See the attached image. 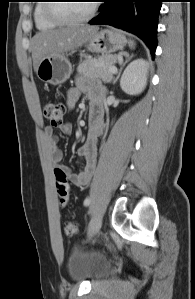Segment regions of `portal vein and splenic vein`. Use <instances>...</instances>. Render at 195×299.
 Masks as SVG:
<instances>
[{
    "instance_id": "portal-vein-and-splenic-vein-1",
    "label": "portal vein and splenic vein",
    "mask_w": 195,
    "mask_h": 299,
    "mask_svg": "<svg viewBox=\"0 0 195 299\" xmlns=\"http://www.w3.org/2000/svg\"><path fill=\"white\" fill-rule=\"evenodd\" d=\"M109 71L111 72V73H116L117 72V68L114 66V67H111L110 69H109Z\"/></svg>"
}]
</instances>
